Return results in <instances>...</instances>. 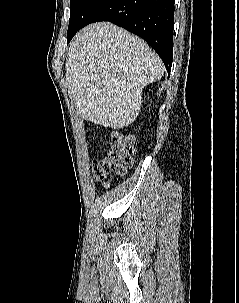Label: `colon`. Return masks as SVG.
<instances>
[{"label": "colon", "instance_id": "1", "mask_svg": "<svg viewBox=\"0 0 239 303\" xmlns=\"http://www.w3.org/2000/svg\"><path fill=\"white\" fill-rule=\"evenodd\" d=\"M133 143V136L120 132L113 133L109 155L95 162L93 166L95 178L104 186L110 184L109 176L123 175L131 168L134 154Z\"/></svg>", "mask_w": 239, "mask_h": 303}]
</instances>
